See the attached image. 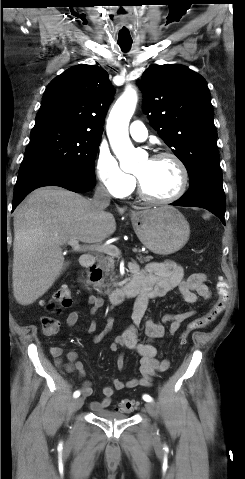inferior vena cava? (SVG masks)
<instances>
[{
	"label": "inferior vena cava",
	"instance_id": "obj_1",
	"mask_svg": "<svg viewBox=\"0 0 245 479\" xmlns=\"http://www.w3.org/2000/svg\"><path fill=\"white\" fill-rule=\"evenodd\" d=\"M110 194L103 186L96 188L93 203L99 207L101 210H104L110 204Z\"/></svg>",
	"mask_w": 245,
	"mask_h": 479
}]
</instances>
